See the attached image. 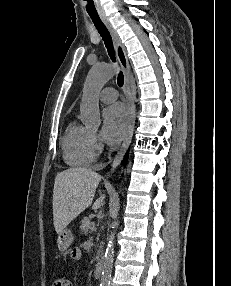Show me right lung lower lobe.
I'll return each instance as SVG.
<instances>
[{
    "label": "right lung lower lobe",
    "instance_id": "1",
    "mask_svg": "<svg viewBox=\"0 0 231 286\" xmlns=\"http://www.w3.org/2000/svg\"><path fill=\"white\" fill-rule=\"evenodd\" d=\"M127 159H128V153L126 154V156L124 158V165H126Z\"/></svg>",
    "mask_w": 231,
    "mask_h": 286
}]
</instances>
